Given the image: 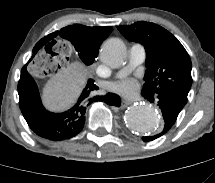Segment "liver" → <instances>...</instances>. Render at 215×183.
<instances>
[{
  "label": "liver",
  "mask_w": 215,
  "mask_h": 183,
  "mask_svg": "<svg viewBox=\"0 0 215 183\" xmlns=\"http://www.w3.org/2000/svg\"><path fill=\"white\" fill-rule=\"evenodd\" d=\"M87 78V69L80 62L62 67L45 85L43 102L53 111H63L71 107L81 91Z\"/></svg>",
  "instance_id": "liver-1"
}]
</instances>
